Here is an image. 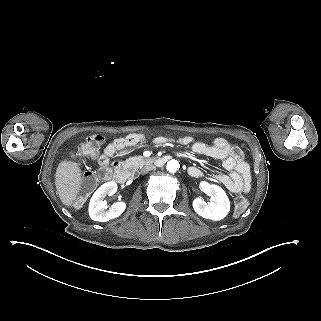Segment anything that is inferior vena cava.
Here are the masks:
<instances>
[{"label": "inferior vena cava", "mask_w": 321, "mask_h": 321, "mask_svg": "<svg viewBox=\"0 0 321 321\" xmlns=\"http://www.w3.org/2000/svg\"><path fill=\"white\" fill-rule=\"evenodd\" d=\"M153 170H156V167L154 165H148V166L141 169V174L145 175Z\"/></svg>", "instance_id": "1"}]
</instances>
